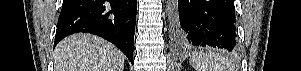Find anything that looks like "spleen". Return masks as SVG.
Returning a JSON list of instances; mask_svg holds the SVG:
<instances>
[{
  "label": "spleen",
  "instance_id": "3e777b00",
  "mask_svg": "<svg viewBox=\"0 0 301 71\" xmlns=\"http://www.w3.org/2000/svg\"><path fill=\"white\" fill-rule=\"evenodd\" d=\"M196 71H234L235 63L229 57L213 52H200L190 57Z\"/></svg>",
  "mask_w": 301,
  "mask_h": 71
}]
</instances>
